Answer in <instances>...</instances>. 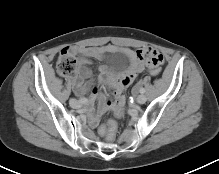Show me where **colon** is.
<instances>
[{
	"mask_svg": "<svg viewBox=\"0 0 219 174\" xmlns=\"http://www.w3.org/2000/svg\"><path fill=\"white\" fill-rule=\"evenodd\" d=\"M57 70L62 76L72 77L78 72V62L68 51L63 50L57 60ZM149 73L152 76L157 77L161 74V68H151ZM116 133L117 124L114 120L107 121L99 128V134L105 137L108 141H113Z\"/></svg>",
	"mask_w": 219,
	"mask_h": 174,
	"instance_id": "colon-1",
	"label": "colon"
}]
</instances>
